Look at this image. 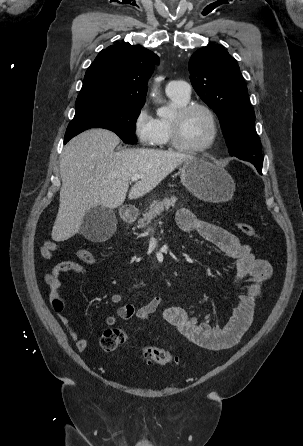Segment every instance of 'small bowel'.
<instances>
[{"mask_svg": "<svg viewBox=\"0 0 303 446\" xmlns=\"http://www.w3.org/2000/svg\"><path fill=\"white\" fill-rule=\"evenodd\" d=\"M176 221L182 231L198 235L234 259L236 270L234 284L236 287L243 285L244 292L239 297L230 320L223 327L212 326L207 318H200L179 306L167 308L163 317L187 340L201 348L211 351L232 348L240 341L252 322L254 308L261 297L263 284L271 276V265L267 260L257 258L251 247L241 243L233 233L219 225L199 219L186 208L178 210ZM56 250V243L46 240L40 248V255L46 260H51ZM66 272L86 274L81 264L66 260L57 263L51 270L45 271V282L50 289V301L61 323L76 342L77 349L85 351L88 342L80 337L77 329L65 314V303L58 292L61 287L59 276ZM229 295L230 293L227 294ZM110 300L120 305L115 312L105 317V323L108 326L114 325L118 318L128 320L135 317L148 320L162 304V297L159 295L152 296L148 303L141 307L124 303L125 296L121 293L113 294Z\"/></svg>", "mask_w": 303, "mask_h": 446, "instance_id": "1", "label": "small bowel"}]
</instances>
